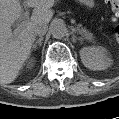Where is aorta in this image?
<instances>
[{
    "label": "aorta",
    "instance_id": "aorta-1",
    "mask_svg": "<svg viewBox=\"0 0 119 119\" xmlns=\"http://www.w3.org/2000/svg\"><path fill=\"white\" fill-rule=\"evenodd\" d=\"M50 32L54 38L60 39V38H63L67 34L68 30L66 25L63 22L56 21L51 24Z\"/></svg>",
    "mask_w": 119,
    "mask_h": 119
}]
</instances>
